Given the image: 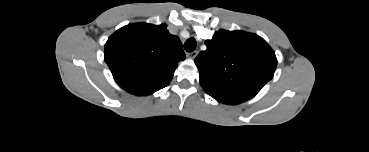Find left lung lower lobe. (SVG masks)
<instances>
[{
  "mask_svg": "<svg viewBox=\"0 0 369 152\" xmlns=\"http://www.w3.org/2000/svg\"><path fill=\"white\" fill-rule=\"evenodd\" d=\"M209 95L213 97L214 99H216L218 102H221L224 104L235 105V104H239L245 101L243 99L232 97V96H226V95H220V94H209Z\"/></svg>",
  "mask_w": 369,
  "mask_h": 152,
  "instance_id": "0a47b994",
  "label": "left lung lower lobe"
}]
</instances>
